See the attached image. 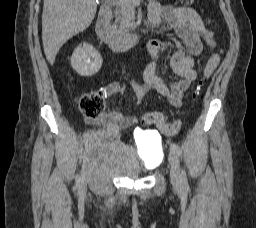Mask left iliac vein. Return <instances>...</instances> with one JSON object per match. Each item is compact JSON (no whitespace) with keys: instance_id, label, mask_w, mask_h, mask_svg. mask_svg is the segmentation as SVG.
I'll return each instance as SVG.
<instances>
[{"instance_id":"left-iliac-vein-1","label":"left iliac vein","mask_w":256,"mask_h":228,"mask_svg":"<svg viewBox=\"0 0 256 228\" xmlns=\"http://www.w3.org/2000/svg\"><path fill=\"white\" fill-rule=\"evenodd\" d=\"M169 163L171 165V171H170V176H171V182L174 186L178 187L181 185V173H180V166H179V159L174 150H170L169 152Z\"/></svg>"}]
</instances>
